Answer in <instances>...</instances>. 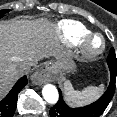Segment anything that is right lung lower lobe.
I'll return each instance as SVG.
<instances>
[{"label": "right lung lower lobe", "mask_w": 117, "mask_h": 117, "mask_svg": "<svg viewBox=\"0 0 117 117\" xmlns=\"http://www.w3.org/2000/svg\"><path fill=\"white\" fill-rule=\"evenodd\" d=\"M27 84V77L23 76L13 86L8 95L0 101V117H12L16 106L17 97L21 89Z\"/></svg>", "instance_id": "98d812e1"}]
</instances>
